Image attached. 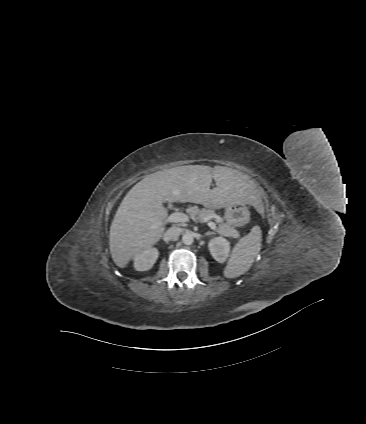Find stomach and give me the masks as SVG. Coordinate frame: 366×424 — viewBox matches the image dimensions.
<instances>
[{
	"instance_id": "1",
	"label": "stomach",
	"mask_w": 366,
	"mask_h": 424,
	"mask_svg": "<svg viewBox=\"0 0 366 424\" xmlns=\"http://www.w3.org/2000/svg\"><path fill=\"white\" fill-rule=\"evenodd\" d=\"M250 212L247 204L234 203L226 206L225 220L231 226H239L243 217H249Z\"/></svg>"
}]
</instances>
